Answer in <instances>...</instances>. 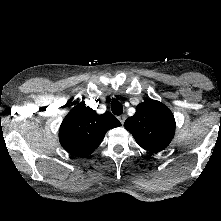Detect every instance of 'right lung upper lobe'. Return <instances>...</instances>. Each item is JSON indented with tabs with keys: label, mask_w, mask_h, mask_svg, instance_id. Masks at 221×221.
Returning <instances> with one entry per match:
<instances>
[{
	"label": "right lung upper lobe",
	"mask_w": 221,
	"mask_h": 221,
	"mask_svg": "<svg viewBox=\"0 0 221 221\" xmlns=\"http://www.w3.org/2000/svg\"><path fill=\"white\" fill-rule=\"evenodd\" d=\"M119 126L121 123L111 113L98 115L81 102L64 118L59 130V140L67 152L86 157L99 146L109 129Z\"/></svg>",
	"instance_id": "right-lung-upper-lobe-1"
}]
</instances>
